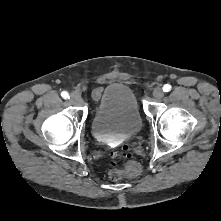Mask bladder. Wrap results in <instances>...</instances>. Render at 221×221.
<instances>
[{
  "mask_svg": "<svg viewBox=\"0 0 221 221\" xmlns=\"http://www.w3.org/2000/svg\"><path fill=\"white\" fill-rule=\"evenodd\" d=\"M143 126L137 98L126 84H108L98 101L91 121L93 136L107 143L115 137H133Z\"/></svg>",
  "mask_w": 221,
  "mask_h": 221,
  "instance_id": "obj_1",
  "label": "bladder"
}]
</instances>
